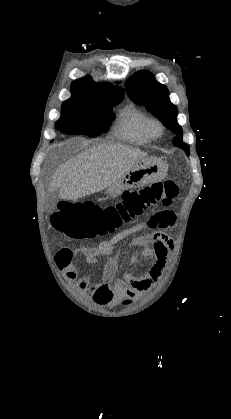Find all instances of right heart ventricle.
<instances>
[{
    "label": "right heart ventricle",
    "mask_w": 231,
    "mask_h": 419,
    "mask_svg": "<svg viewBox=\"0 0 231 419\" xmlns=\"http://www.w3.org/2000/svg\"><path fill=\"white\" fill-rule=\"evenodd\" d=\"M149 116L135 108H125L120 116L116 127V134L134 143L143 144L152 139L149 131Z\"/></svg>",
    "instance_id": "right-heart-ventricle-1"
}]
</instances>
